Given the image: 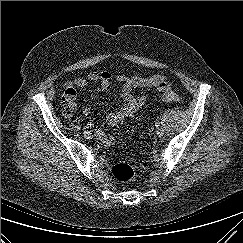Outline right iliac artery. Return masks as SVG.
I'll return each mask as SVG.
<instances>
[{
  "mask_svg": "<svg viewBox=\"0 0 243 243\" xmlns=\"http://www.w3.org/2000/svg\"><path fill=\"white\" fill-rule=\"evenodd\" d=\"M92 127V125L91 124H87V128H91Z\"/></svg>",
  "mask_w": 243,
  "mask_h": 243,
  "instance_id": "obj_1",
  "label": "right iliac artery"
}]
</instances>
